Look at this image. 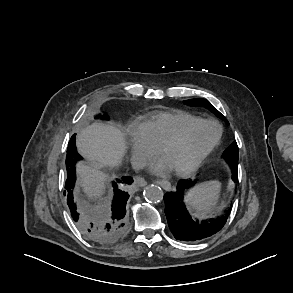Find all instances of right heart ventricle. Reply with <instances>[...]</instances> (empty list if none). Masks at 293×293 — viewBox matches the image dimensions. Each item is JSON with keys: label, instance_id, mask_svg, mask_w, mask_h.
<instances>
[{"label": "right heart ventricle", "instance_id": "e07e8e85", "mask_svg": "<svg viewBox=\"0 0 293 293\" xmlns=\"http://www.w3.org/2000/svg\"><path fill=\"white\" fill-rule=\"evenodd\" d=\"M198 119L190 113L172 109L152 113L141 125L152 144L159 147L174 137L185 125Z\"/></svg>", "mask_w": 293, "mask_h": 293}]
</instances>
